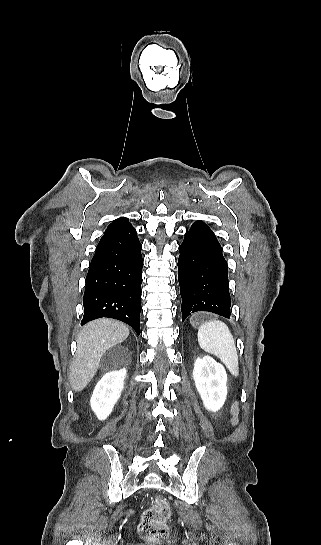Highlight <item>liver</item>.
<instances>
[{
    "label": "liver",
    "instance_id": "6515ba94",
    "mask_svg": "<svg viewBox=\"0 0 321 545\" xmlns=\"http://www.w3.org/2000/svg\"><path fill=\"white\" fill-rule=\"evenodd\" d=\"M129 335L127 325L113 319H97L83 327L77 339V351L70 369L73 391H83L93 379L104 353L123 343Z\"/></svg>",
    "mask_w": 321,
    "mask_h": 545
}]
</instances>
